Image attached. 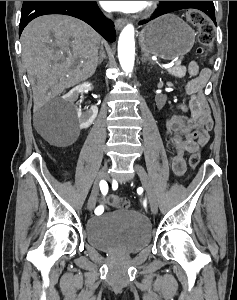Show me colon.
<instances>
[{"instance_id": "obj_1", "label": "colon", "mask_w": 237, "mask_h": 300, "mask_svg": "<svg viewBox=\"0 0 237 300\" xmlns=\"http://www.w3.org/2000/svg\"><path fill=\"white\" fill-rule=\"evenodd\" d=\"M187 21L199 30V42L201 47L199 53L201 55L208 54L213 46L215 39V26L213 22L205 15L204 12L198 9H190L186 13ZM200 161V152L196 150L189 159V164L192 168H196ZM110 203L116 208H127L129 202L126 198L120 195H112Z\"/></svg>"}]
</instances>
